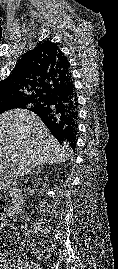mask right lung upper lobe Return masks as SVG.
I'll return each mask as SVG.
<instances>
[{
    "label": "right lung upper lobe",
    "mask_w": 118,
    "mask_h": 269,
    "mask_svg": "<svg viewBox=\"0 0 118 269\" xmlns=\"http://www.w3.org/2000/svg\"><path fill=\"white\" fill-rule=\"evenodd\" d=\"M69 67L67 58L57 44L50 41L39 44L27 51L10 75L2 80L0 102L31 98L34 106L28 109L36 113L56 136L52 119L40 108L73 83Z\"/></svg>",
    "instance_id": "obj_1"
}]
</instances>
